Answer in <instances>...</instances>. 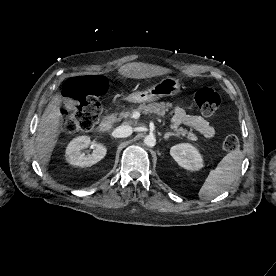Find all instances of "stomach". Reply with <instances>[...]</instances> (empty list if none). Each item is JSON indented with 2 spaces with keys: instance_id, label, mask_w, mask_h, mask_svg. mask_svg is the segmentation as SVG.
Wrapping results in <instances>:
<instances>
[{
  "instance_id": "1",
  "label": "stomach",
  "mask_w": 276,
  "mask_h": 276,
  "mask_svg": "<svg viewBox=\"0 0 276 276\" xmlns=\"http://www.w3.org/2000/svg\"><path fill=\"white\" fill-rule=\"evenodd\" d=\"M180 82L176 78L166 77L152 87L129 94L126 100L130 103H146L163 97L174 96L180 92Z\"/></svg>"
}]
</instances>
